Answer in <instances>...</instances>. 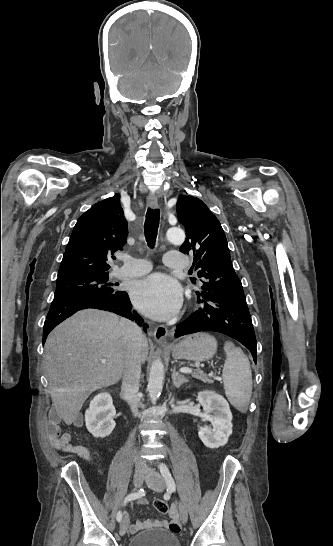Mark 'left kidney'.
Here are the masks:
<instances>
[{"label":"left kidney","instance_id":"left-kidney-1","mask_svg":"<svg viewBox=\"0 0 333 546\" xmlns=\"http://www.w3.org/2000/svg\"><path fill=\"white\" fill-rule=\"evenodd\" d=\"M197 398L203 407V419L213 424V429L209 426L199 427V438L211 449L224 446L232 433V413L227 400L208 390L199 392Z\"/></svg>","mask_w":333,"mask_h":546}]
</instances>
